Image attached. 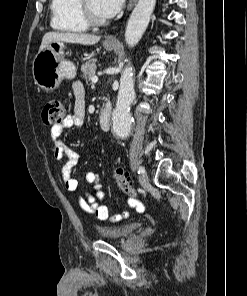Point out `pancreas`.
<instances>
[{"label":"pancreas","mask_w":247,"mask_h":296,"mask_svg":"<svg viewBox=\"0 0 247 296\" xmlns=\"http://www.w3.org/2000/svg\"><path fill=\"white\" fill-rule=\"evenodd\" d=\"M81 71L83 73V77L90 81L93 76H95L96 73V60H91L86 63H84L81 66Z\"/></svg>","instance_id":"cf45deb5"}]
</instances>
